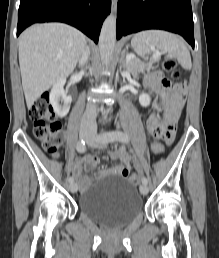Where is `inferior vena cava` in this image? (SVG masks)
I'll list each match as a JSON object with an SVG mask.
<instances>
[{
    "label": "inferior vena cava",
    "instance_id": "inferior-vena-cava-1",
    "mask_svg": "<svg viewBox=\"0 0 219 258\" xmlns=\"http://www.w3.org/2000/svg\"><path fill=\"white\" fill-rule=\"evenodd\" d=\"M90 55V50L86 47L79 58L80 66L85 65ZM96 116H97V108L94 104H87L85 113L81 120V129L85 131H89L91 133H95L97 131L96 124Z\"/></svg>",
    "mask_w": 219,
    "mask_h": 258
}]
</instances>
